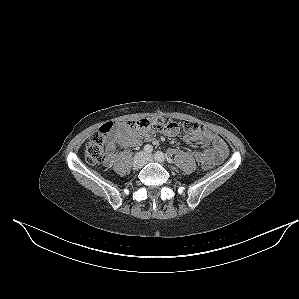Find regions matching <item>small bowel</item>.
Returning <instances> with one entry per match:
<instances>
[{
    "mask_svg": "<svg viewBox=\"0 0 299 299\" xmlns=\"http://www.w3.org/2000/svg\"><path fill=\"white\" fill-rule=\"evenodd\" d=\"M176 133L177 132L166 134L172 136ZM152 138V134L147 129L131 128L128 126L127 121L119 123L115 136L112 137L107 144L108 153L104 164L106 166H110L112 164L116 144L125 148L135 147L141 143L142 139L150 141ZM183 139L185 142H201L211 145L210 148H207L204 151L193 153L195 160L200 164L206 160L212 161L213 163H220L228 155V147L225 141L208 129L202 128L201 132L194 135H187ZM175 152V150H170V154H174Z\"/></svg>",
    "mask_w": 299,
    "mask_h": 299,
    "instance_id": "1",
    "label": "small bowel"
}]
</instances>
